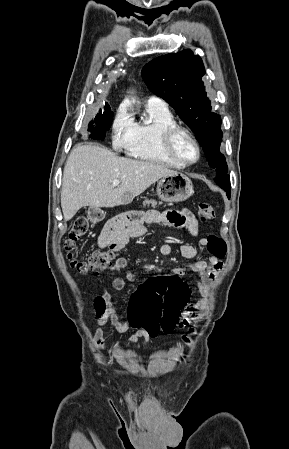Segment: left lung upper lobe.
Returning <instances> with one entry per match:
<instances>
[{"label":"left lung upper lobe","instance_id":"obj_1","mask_svg":"<svg viewBox=\"0 0 289 449\" xmlns=\"http://www.w3.org/2000/svg\"><path fill=\"white\" fill-rule=\"evenodd\" d=\"M204 74L201 58L190 50L157 57L142 69L150 91L168 102L195 133L209 165L216 171L215 182L227 189L230 177L225 157L220 152L221 118L211 112L202 81Z\"/></svg>","mask_w":289,"mask_h":449}]
</instances>
